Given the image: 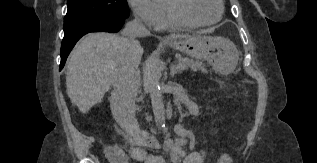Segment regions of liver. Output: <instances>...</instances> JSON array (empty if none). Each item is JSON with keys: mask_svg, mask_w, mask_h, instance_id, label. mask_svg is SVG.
<instances>
[{"mask_svg": "<svg viewBox=\"0 0 317 163\" xmlns=\"http://www.w3.org/2000/svg\"><path fill=\"white\" fill-rule=\"evenodd\" d=\"M172 39L188 38L187 35L173 34ZM123 37L97 32L86 35L73 49L67 62V94L79 111L87 113L102 101L110 89L117 69L124 60ZM143 48L138 44L129 59L138 64Z\"/></svg>", "mask_w": 317, "mask_h": 163, "instance_id": "liver-1", "label": "liver"}]
</instances>
